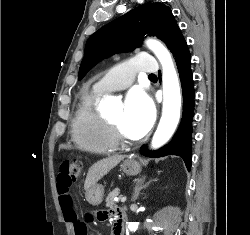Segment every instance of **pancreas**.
Returning a JSON list of instances; mask_svg holds the SVG:
<instances>
[{
    "label": "pancreas",
    "instance_id": "1",
    "mask_svg": "<svg viewBox=\"0 0 250 235\" xmlns=\"http://www.w3.org/2000/svg\"><path fill=\"white\" fill-rule=\"evenodd\" d=\"M118 195H119L118 190H113L112 192H110L106 198V207L114 208L116 206L114 198Z\"/></svg>",
    "mask_w": 250,
    "mask_h": 235
}]
</instances>
